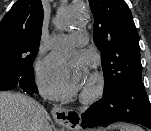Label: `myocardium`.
<instances>
[{
  "mask_svg": "<svg viewBox=\"0 0 151 131\" xmlns=\"http://www.w3.org/2000/svg\"><path fill=\"white\" fill-rule=\"evenodd\" d=\"M104 89V78L102 77V75L95 73L90 77L88 85L82 92L81 100L84 103L94 102L103 95Z\"/></svg>",
  "mask_w": 151,
  "mask_h": 131,
  "instance_id": "1",
  "label": "myocardium"
}]
</instances>
